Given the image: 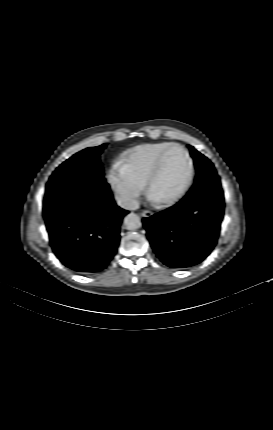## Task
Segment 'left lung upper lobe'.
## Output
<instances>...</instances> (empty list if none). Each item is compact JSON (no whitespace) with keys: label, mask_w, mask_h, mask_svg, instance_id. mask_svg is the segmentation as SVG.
<instances>
[{"label":"left lung upper lobe","mask_w":273,"mask_h":430,"mask_svg":"<svg viewBox=\"0 0 273 430\" xmlns=\"http://www.w3.org/2000/svg\"><path fill=\"white\" fill-rule=\"evenodd\" d=\"M189 149L191 151V156L194 159V163L196 165V170L198 174L196 177V181L200 179L203 176V174L216 173V170L213 164L204 155L196 151L192 146H189Z\"/></svg>","instance_id":"left-lung-upper-lobe-1"}]
</instances>
